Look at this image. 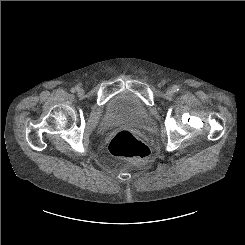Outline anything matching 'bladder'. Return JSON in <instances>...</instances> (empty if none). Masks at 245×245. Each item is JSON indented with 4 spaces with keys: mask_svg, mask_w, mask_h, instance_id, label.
I'll list each match as a JSON object with an SVG mask.
<instances>
[{
    "mask_svg": "<svg viewBox=\"0 0 245 245\" xmlns=\"http://www.w3.org/2000/svg\"><path fill=\"white\" fill-rule=\"evenodd\" d=\"M120 121L142 127L152 125V118L147 107L129 93L118 94L106 102L98 130H105Z\"/></svg>",
    "mask_w": 245,
    "mask_h": 245,
    "instance_id": "bladder-1",
    "label": "bladder"
}]
</instances>
